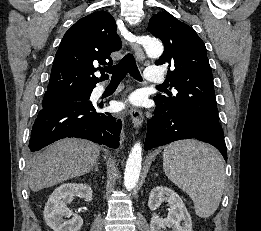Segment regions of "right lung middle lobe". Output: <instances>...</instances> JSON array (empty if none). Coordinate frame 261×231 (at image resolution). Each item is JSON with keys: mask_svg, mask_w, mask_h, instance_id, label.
I'll list each match as a JSON object with an SVG mask.
<instances>
[{"mask_svg": "<svg viewBox=\"0 0 261 231\" xmlns=\"http://www.w3.org/2000/svg\"><path fill=\"white\" fill-rule=\"evenodd\" d=\"M91 91L67 92V93H45L42 101V109L57 105L87 100L90 98Z\"/></svg>", "mask_w": 261, "mask_h": 231, "instance_id": "dd1d6c3e", "label": "right lung middle lobe"}]
</instances>
